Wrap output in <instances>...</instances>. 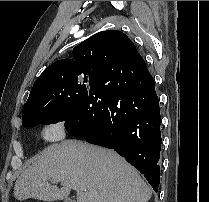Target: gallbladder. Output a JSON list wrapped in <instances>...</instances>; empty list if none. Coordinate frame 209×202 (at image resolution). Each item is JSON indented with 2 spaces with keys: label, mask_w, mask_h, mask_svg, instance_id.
Listing matches in <instances>:
<instances>
[{
  "label": "gallbladder",
  "mask_w": 209,
  "mask_h": 202,
  "mask_svg": "<svg viewBox=\"0 0 209 202\" xmlns=\"http://www.w3.org/2000/svg\"><path fill=\"white\" fill-rule=\"evenodd\" d=\"M65 202H75V200L74 199H72V198H68V199H66V201Z\"/></svg>",
  "instance_id": "bac80fb5"
}]
</instances>
